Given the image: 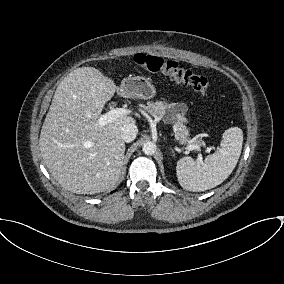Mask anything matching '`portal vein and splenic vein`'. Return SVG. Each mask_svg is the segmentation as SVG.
I'll return each mask as SVG.
<instances>
[{
    "instance_id": "18ae733b",
    "label": "portal vein and splenic vein",
    "mask_w": 284,
    "mask_h": 284,
    "mask_svg": "<svg viewBox=\"0 0 284 284\" xmlns=\"http://www.w3.org/2000/svg\"><path fill=\"white\" fill-rule=\"evenodd\" d=\"M130 113V110H127V109H124V108H114L112 110H110L109 112L101 115L97 122L100 126H105L107 125L108 123L126 115V114H129ZM187 150L191 151V150H195V151H198L199 154H198V157H197V160L199 162H202L203 161V157H202V154H201V147L199 145H196V144H189L187 147H186ZM211 147L207 148L205 150L206 153H209L211 151Z\"/></svg>"
}]
</instances>
